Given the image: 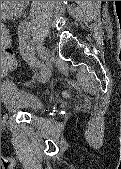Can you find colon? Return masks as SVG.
<instances>
[{
  "label": "colon",
  "instance_id": "colon-1",
  "mask_svg": "<svg viewBox=\"0 0 121 169\" xmlns=\"http://www.w3.org/2000/svg\"><path fill=\"white\" fill-rule=\"evenodd\" d=\"M2 47L4 49L1 62L2 70H11L16 66V57L12 50L9 48V43L7 41L2 42Z\"/></svg>",
  "mask_w": 121,
  "mask_h": 169
}]
</instances>
